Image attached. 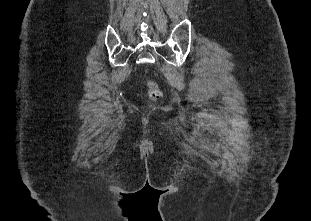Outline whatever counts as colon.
Returning a JSON list of instances; mask_svg holds the SVG:
<instances>
[{
  "instance_id": "1",
  "label": "colon",
  "mask_w": 311,
  "mask_h": 221,
  "mask_svg": "<svg viewBox=\"0 0 311 221\" xmlns=\"http://www.w3.org/2000/svg\"><path fill=\"white\" fill-rule=\"evenodd\" d=\"M152 96L154 98H159L161 95V92L153 85V84H149Z\"/></svg>"
}]
</instances>
